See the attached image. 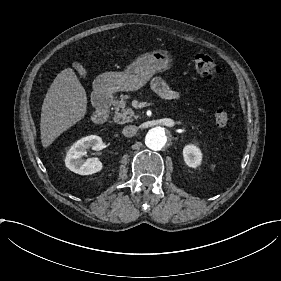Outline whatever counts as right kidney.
<instances>
[{
  "mask_svg": "<svg viewBox=\"0 0 281 281\" xmlns=\"http://www.w3.org/2000/svg\"><path fill=\"white\" fill-rule=\"evenodd\" d=\"M89 148L96 151L103 149L102 139L99 136L90 135L74 143L66 154V167L80 175H89L100 171L102 163L98 158H88L86 160L82 158L87 154V149Z\"/></svg>",
  "mask_w": 281,
  "mask_h": 281,
  "instance_id": "obj_1",
  "label": "right kidney"
}]
</instances>
